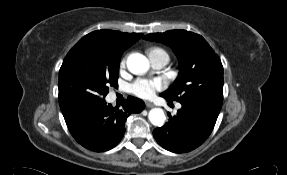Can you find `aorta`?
I'll return each instance as SVG.
<instances>
[{"label": "aorta", "instance_id": "obj_1", "mask_svg": "<svg viewBox=\"0 0 287 175\" xmlns=\"http://www.w3.org/2000/svg\"><path fill=\"white\" fill-rule=\"evenodd\" d=\"M148 59L140 53H132L127 58V68L133 74H144L149 70ZM148 118L154 126H163L166 120L161 108H153L149 111Z\"/></svg>", "mask_w": 287, "mask_h": 175}]
</instances>
